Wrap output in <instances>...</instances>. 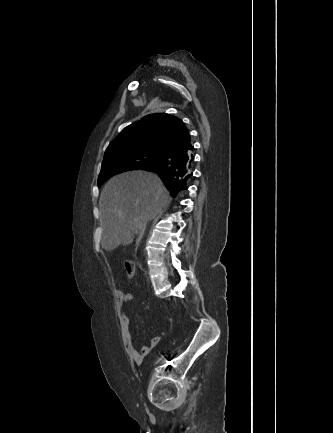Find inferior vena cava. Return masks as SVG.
I'll return each mask as SVG.
<instances>
[{
    "label": "inferior vena cava",
    "mask_w": 333,
    "mask_h": 433,
    "mask_svg": "<svg viewBox=\"0 0 333 433\" xmlns=\"http://www.w3.org/2000/svg\"><path fill=\"white\" fill-rule=\"evenodd\" d=\"M145 228H146V225H144V227L142 228V230H141V235L144 234Z\"/></svg>",
    "instance_id": "inferior-vena-cava-1"
}]
</instances>
